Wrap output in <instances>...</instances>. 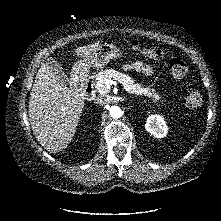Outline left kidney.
I'll return each mask as SVG.
<instances>
[{
  "mask_svg": "<svg viewBox=\"0 0 221 221\" xmlns=\"http://www.w3.org/2000/svg\"><path fill=\"white\" fill-rule=\"evenodd\" d=\"M145 129L157 138H164L168 132V127L164 118L157 114L147 118Z\"/></svg>",
  "mask_w": 221,
  "mask_h": 221,
  "instance_id": "obj_1",
  "label": "left kidney"
}]
</instances>
